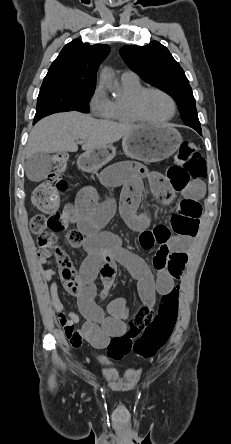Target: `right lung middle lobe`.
Instances as JSON below:
<instances>
[{
    "mask_svg": "<svg viewBox=\"0 0 231 444\" xmlns=\"http://www.w3.org/2000/svg\"><path fill=\"white\" fill-rule=\"evenodd\" d=\"M95 88H43L37 99L34 118L36 123L41 118L56 112L77 110L88 112V101Z\"/></svg>",
    "mask_w": 231,
    "mask_h": 444,
    "instance_id": "obj_1",
    "label": "right lung middle lobe"
}]
</instances>
